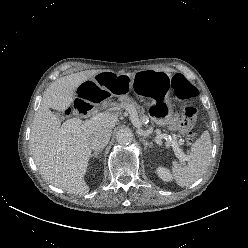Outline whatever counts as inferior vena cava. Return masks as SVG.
Here are the masks:
<instances>
[{
	"label": "inferior vena cava",
	"instance_id": "1",
	"mask_svg": "<svg viewBox=\"0 0 248 248\" xmlns=\"http://www.w3.org/2000/svg\"><path fill=\"white\" fill-rule=\"evenodd\" d=\"M110 136L111 131L107 128L94 132L89 139L91 149L95 151L102 150L108 144Z\"/></svg>",
	"mask_w": 248,
	"mask_h": 248
}]
</instances>
